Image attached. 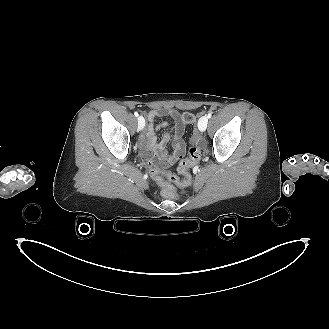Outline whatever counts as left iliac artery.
I'll use <instances>...</instances> for the list:
<instances>
[{
    "label": "left iliac artery",
    "mask_w": 329,
    "mask_h": 329,
    "mask_svg": "<svg viewBox=\"0 0 329 329\" xmlns=\"http://www.w3.org/2000/svg\"><path fill=\"white\" fill-rule=\"evenodd\" d=\"M212 113H208L207 118H211Z\"/></svg>",
    "instance_id": "44dca946"
}]
</instances>
